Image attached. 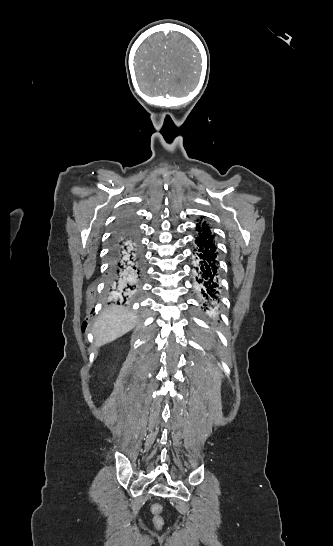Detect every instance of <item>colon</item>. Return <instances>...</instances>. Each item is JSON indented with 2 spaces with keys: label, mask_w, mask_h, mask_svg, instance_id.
I'll use <instances>...</instances> for the list:
<instances>
[{
  "label": "colon",
  "mask_w": 333,
  "mask_h": 546,
  "mask_svg": "<svg viewBox=\"0 0 333 546\" xmlns=\"http://www.w3.org/2000/svg\"><path fill=\"white\" fill-rule=\"evenodd\" d=\"M162 511H163V508L158 503H155L151 506V512L153 514V524L158 529H161L164 525Z\"/></svg>",
  "instance_id": "1"
}]
</instances>
